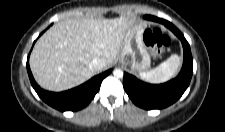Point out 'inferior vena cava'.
<instances>
[{"mask_svg":"<svg viewBox=\"0 0 225 132\" xmlns=\"http://www.w3.org/2000/svg\"><path fill=\"white\" fill-rule=\"evenodd\" d=\"M105 63L102 59L100 58H94L90 63H89V68L92 71L95 72H101L104 69Z\"/></svg>","mask_w":225,"mask_h":132,"instance_id":"obj_1","label":"inferior vena cava"}]
</instances>
